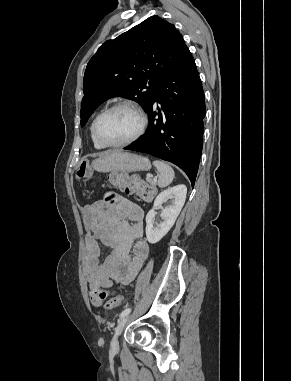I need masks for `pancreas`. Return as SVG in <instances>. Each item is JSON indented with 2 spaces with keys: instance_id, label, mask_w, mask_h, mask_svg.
I'll use <instances>...</instances> for the list:
<instances>
[{
  "instance_id": "obj_1",
  "label": "pancreas",
  "mask_w": 291,
  "mask_h": 381,
  "mask_svg": "<svg viewBox=\"0 0 291 381\" xmlns=\"http://www.w3.org/2000/svg\"><path fill=\"white\" fill-rule=\"evenodd\" d=\"M146 180H147V182H148L150 185H152V186H155V185H156V181H155V180H153V179H151V178H149V177H146Z\"/></svg>"
}]
</instances>
